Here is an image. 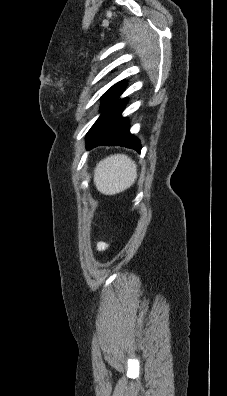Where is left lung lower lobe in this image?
I'll list each match as a JSON object with an SVG mask.
<instances>
[{
    "mask_svg": "<svg viewBox=\"0 0 227 396\" xmlns=\"http://www.w3.org/2000/svg\"><path fill=\"white\" fill-rule=\"evenodd\" d=\"M125 88L126 82H123L103 98L102 113L86 136V148L88 150L97 146L108 145L124 146L138 152L141 151L139 139L129 132L128 121L121 116L127 98H118Z\"/></svg>",
    "mask_w": 227,
    "mask_h": 396,
    "instance_id": "1",
    "label": "left lung lower lobe"
}]
</instances>
